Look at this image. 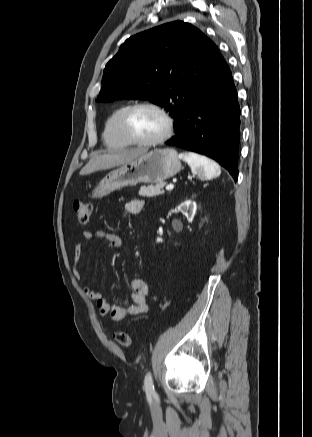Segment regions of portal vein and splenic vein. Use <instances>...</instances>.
I'll return each instance as SVG.
<instances>
[{
    "label": "portal vein and splenic vein",
    "instance_id": "portal-vein-and-splenic-vein-1",
    "mask_svg": "<svg viewBox=\"0 0 312 437\" xmlns=\"http://www.w3.org/2000/svg\"><path fill=\"white\" fill-rule=\"evenodd\" d=\"M174 188V185L169 184L165 187L166 190H172Z\"/></svg>",
    "mask_w": 312,
    "mask_h": 437
}]
</instances>
